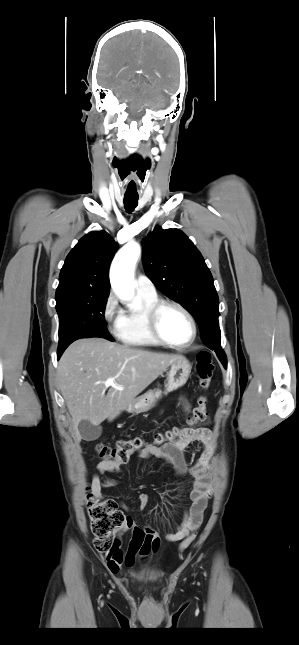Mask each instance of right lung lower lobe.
<instances>
[{
	"label": "right lung lower lobe",
	"instance_id": "1",
	"mask_svg": "<svg viewBox=\"0 0 299 645\" xmlns=\"http://www.w3.org/2000/svg\"><path fill=\"white\" fill-rule=\"evenodd\" d=\"M62 353H63V352H57V357H58V359L60 358V356L62 355Z\"/></svg>",
	"mask_w": 299,
	"mask_h": 645
}]
</instances>
